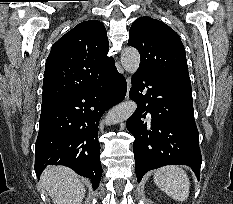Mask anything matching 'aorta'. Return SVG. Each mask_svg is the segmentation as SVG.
<instances>
[{
  "mask_svg": "<svg viewBox=\"0 0 233 204\" xmlns=\"http://www.w3.org/2000/svg\"><path fill=\"white\" fill-rule=\"evenodd\" d=\"M121 64L128 73H135L140 64V55L133 47L125 48L121 53ZM137 104L133 101L123 102L108 112L105 124L112 125L127 120L136 110Z\"/></svg>",
  "mask_w": 233,
  "mask_h": 204,
  "instance_id": "aorta-1",
  "label": "aorta"
}]
</instances>
